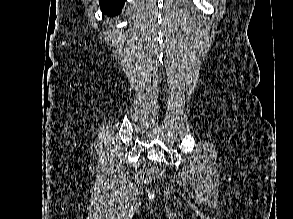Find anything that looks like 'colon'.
Masks as SVG:
<instances>
[{"label":"colon","mask_w":293,"mask_h":219,"mask_svg":"<svg viewBox=\"0 0 293 219\" xmlns=\"http://www.w3.org/2000/svg\"><path fill=\"white\" fill-rule=\"evenodd\" d=\"M164 176V171L162 169H153L149 171H140L136 179L139 183H148Z\"/></svg>","instance_id":"colon-1"}]
</instances>
